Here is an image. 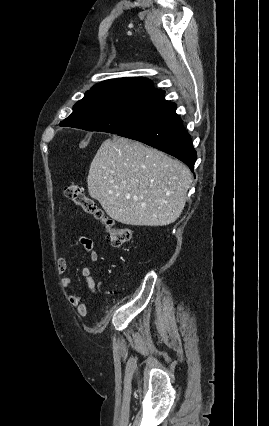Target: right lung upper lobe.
Wrapping results in <instances>:
<instances>
[{
	"mask_svg": "<svg viewBox=\"0 0 269 426\" xmlns=\"http://www.w3.org/2000/svg\"><path fill=\"white\" fill-rule=\"evenodd\" d=\"M110 92H163L153 89V83L147 78L110 79L94 85L86 94Z\"/></svg>",
	"mask_w": 269,
	"mask_h": 426,
	"instance_id": "right-lung-upper-lobe-1",
	"label": "right lung upper lobe"
}]
</instances>
